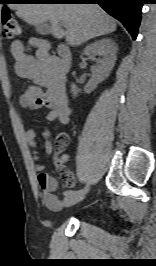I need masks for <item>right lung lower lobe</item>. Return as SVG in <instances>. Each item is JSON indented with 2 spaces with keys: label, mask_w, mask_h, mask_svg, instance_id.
Returning <instances> with one entry per match:
<instances>
[{
  "label": "right lung lower lobe",
  "mask_w": 156,
  "mask_h": 266,
  "mask_svg": "<svg viewBox=\"0 0 156 266\" xmlns=\"http://www.w3.org/2000/svg\"><path fill=\"white\" fill-rule=\"evenodd\" d=\"M59 4H99L106 12L118 19L136 39L145 0H46Z\"/></svg>",
  "instance_id": "1"
}]
</instances>
